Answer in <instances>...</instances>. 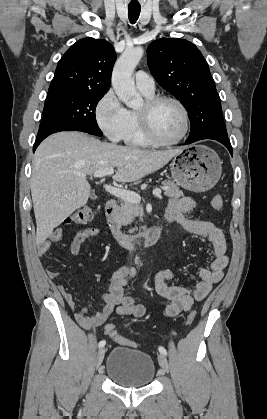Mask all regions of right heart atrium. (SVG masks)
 Returning a JSON list of instances; mask_svg holds the SVG:
<instances>
[{
    "label": "right heart atrium",
    "instance_id": "obj_1",
    "mask_svg": "<svg viewBox=\"0 0 267 419\" xmlns=\"http://www.w3.org/2000/svg\"><path fill=\"white\" fill-rule=\"evenodd\" d=\"M95 119L100 130L113 142L124 139L128 128V110L113 90L107 91L97 102Z\"/></svg>",
    "mask_w": 267,
    "mask_h": 419
}]
</instances>
